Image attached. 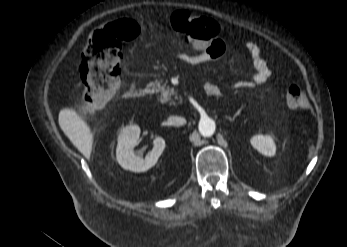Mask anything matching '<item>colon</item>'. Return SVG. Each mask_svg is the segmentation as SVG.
Instances as JSON below:
<instances>
[{"label": "colon", "mask_w": 347, "mask_h": 247, "mask_svg": "<svg viewBox=\"0 0 347 247\" xmlns=\"http://www.w3.org/2000/svg\"><path fill=\"white\" fill-rule=\"evenodd\" d=\"M171 25L194 48L205 46L220 33L215 20L192 15L187 11L173 13ZM139 32L140 27L136 21L118 18L93 33L79 67L84 87L80 109L83 114L90 115L112 100L120 85L124 47ZM286 102L295 110H303L308 105L305 91L299 84L289 85Z\"/></svg>", "instance_id": "obj_1"}]
</instances>
